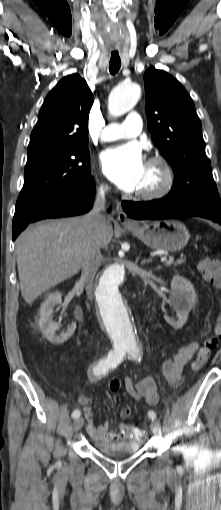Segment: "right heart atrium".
<instances>
[{
	"label": "right heart atrium",
	"instance_id": "obj_1",
	"mask_svg": "<svg viewBox=\"0 0 221 510\" xmlns=\"http://www.w3.org/2000/svg\"><path fill=\"white\" fill-rule=\"evenodd\" d=\"M99 188H100V190L105 192L108 190L109 185L106 182L102 181L99 183Z\"/></svg>",
	"mask_w": 221,
	"mask_h": 510
}]
</instances>
